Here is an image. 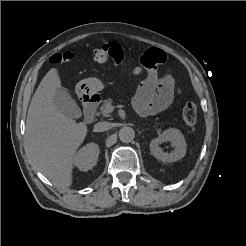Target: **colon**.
<instances>
[{"label":"colon","instance_id":"1","mask_svg":"<svg viewBox=\"0 0 246 246\" xmlns=\"http://www.w3.org/2000/svg\"><path fill=\"white\" fill-rule=\"evenodd\" d=\"M89 57L96 63H120L123 59V51L120 46L116 44H106L101 48L94 49L89 54ZM75 58L72 52H63L54 54L51 57L53 64H61L70 62ZM197 106L194 102H187L182 109V119L187 127H194L197 122Z\"/></svg>","mask_w":246,"mask_h":246}]
</instances>
